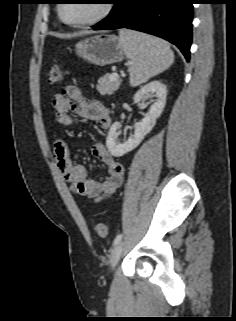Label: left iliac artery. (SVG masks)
Segmentation results:
<instances>
[{
    "instance_id": "44dca946",
    "label": "left iliac artery",
    "mask_w": 236,
    "mask_h": 321,
    "mask_svg": "<svg viewBox=\"0 0 236 321\" xmlns=\"http://www.w3.org/2000/svg\"><path fill=\"white\" fill-rule=\"evenodd\" d=\"M121 238H122V234L117 235L116 238L114 239L113 245L118 244L120 242Z\"/></svg>"
}]
</instances>
